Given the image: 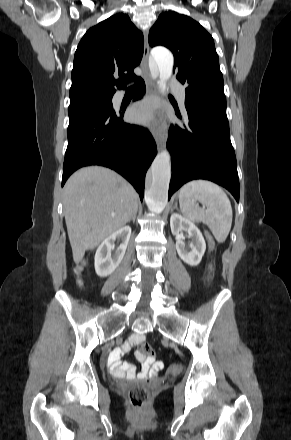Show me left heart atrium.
I'll return each mask as SVG.
<instances>
[{"instance_id": "1", "label": "left heart atrium", "mask_w": 291, "mask_h": 440, "mask_svg": "<svg viewBox=\"0 0 291 440\" xmlns=\"http://www.w3.org/2000/svg\"><path fill=\"white\" fill-rule=\"evenodd\" d=\"M129 117L135 122H147L151 118V106L148 103H142L129 111Z\"/></svg>"}]
</instances>
